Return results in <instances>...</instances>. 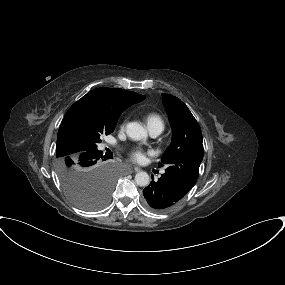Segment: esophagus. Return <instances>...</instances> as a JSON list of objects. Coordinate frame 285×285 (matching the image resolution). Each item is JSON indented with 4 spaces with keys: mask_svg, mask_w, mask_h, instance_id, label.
I'll return each instance as SVG.
<instances>
[{
    "mask_svg": "<svg viewBox=\"0 0 285 285\" xmlns=\"http://www.w3.org/2000/svg\"><path fill=\"white\" fill-rule=\"evenodd\" d=\"M134 171L139 172V171H141V168L140 167H134Z\"/></svg>",
    "mask_w": 285,
    "mask_h": 285,
    "instance_id": "1",
    "label": "esophagus"
}]
</instances>
